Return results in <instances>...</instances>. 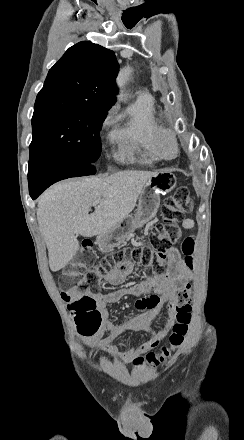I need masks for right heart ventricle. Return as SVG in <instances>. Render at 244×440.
<instances>
[{
    "label": "right heart ventricle",
    "instance_id": "1",
    "mask_svg": "<svg viewBox=\"0 0 244 440\" xmlns=\"http://www.w3.org/2000/svg\"><path fill=\"white\" fill-rule=\"evenodd\" d=\"M162 128L157 124L154 117V102L133 101L121 114L115 119V126L109 133L108 139L115 143L123 140L136 144L138 141L143 147L148 149H157L156 139L160 138ZM120 133L122 135H120ZM136 151L138 148H132ZM122 158L133 160L130 152L124 153Z\"/></svg>",
    "mask_w": 244,
    "mask_h": 440
}]
</instances>
